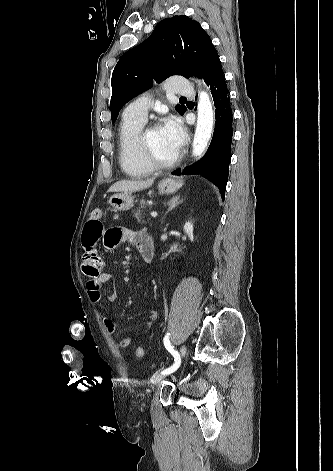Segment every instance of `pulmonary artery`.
<instances>
[{
  "label": "pulmonary artery",
  "mask_w": 333,
  "mask_h": 471,
  "mask_svg": "<svg viewBox=\"0 0 333 471\" xmlns=\"http://www.w3.org/2000/svg\"><path fill=\"white\" fill-rule=\"evenodd\" d=\"M167 88L171 93L177 95L190 96L194 92L192 84L181 76L172 77L167 83ZM149 107L150 99L142 96L131 102L125 108L123 115L128 118L146 121Z\"/></svg>",
  "instance_id": "e3ab8cb5"
}]
</instances>
